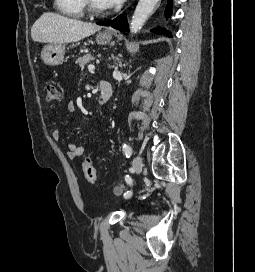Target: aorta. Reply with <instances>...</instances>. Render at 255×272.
Returning <instances> with one entry per match:
<instances>
[{
	"instance_id": "762f6f07",
	"label": "aorta",
	"mask_w": 255,
	"mask_h": 272,
	"mask_svg": "<svg viewBox=\"0 0 255 272\" xmlns=\"http://www.w3.org/2000/svg\"><path fill=\"white\" fill-rule=\"evenodd\" d=\"M159 1L139 0L131 20L130 30L132 33H137L142 28Z\"/></svg>"
}]
</instances>
